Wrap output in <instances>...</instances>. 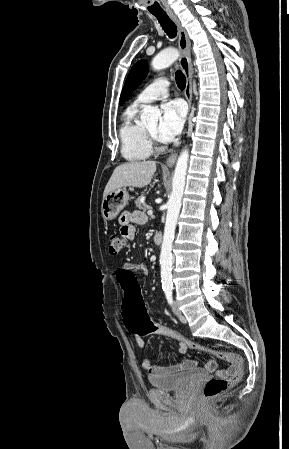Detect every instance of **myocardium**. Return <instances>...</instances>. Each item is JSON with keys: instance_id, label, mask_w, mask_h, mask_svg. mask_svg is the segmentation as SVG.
Returning <instances> with one entry per match:
<instances>
[{"instance_id": "f54148a6", "label": "myocardium", "mask_w": 289, "mask_h": 449, "mask_svg": "<svg viewBox=\"0 0 289 449\" xmlns=\"http://www.w3.org/2000/svg\"><path fill=\"white\" fill-rule=\"evenodd\" d=\"M145 133L152 150L158 152L164 150V146L162 145L160 140L156 136H154L147 128H145Z\"/></svg>"}]
</instances>
